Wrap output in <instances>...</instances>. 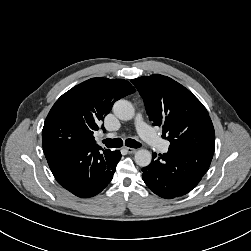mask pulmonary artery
Returning a JSON list of instances; mask_svg holds the SVG:
<instances>
[{
  "label": "pulmonary artery",
  "mask_w": 251,
  "mask_h": 251,
  "mask_svg": "<svg viewBox=\"0 0 251 251\" xmlns=\"http://www.w3.org/2000/svg\"><path fill=\"white\" fill-rule=\"evenodd\" d=\"M136 128L142 139L152 148L159 152L166 153L169 149V142L161 139L142 119L140 115L136 117Z\"/></svg>",
  "instance_id": "e3ab8cb5"
}]
</instances>
